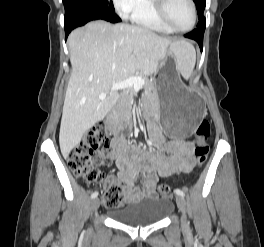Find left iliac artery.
<instances>
[{
	"label": "left iliac artery",
	"mask_w": 264,
	"mask_h": 247,
	"mask_svg": "<svg viewBox=\"0 0 264 247\" xmlns=\"http://www.w3.org/2000/svg\"><path fill=\"white\" fill-rule=\"evenodd\" d=\"M174 192L177 194V195H181V196H185L184 192L180 189H175Z\"/></svg>",
	"instance_id": "44dca946"
}]
</instances>
